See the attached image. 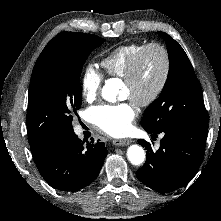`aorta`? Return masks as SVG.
<instances>
[{
    "label": "aorta",
    "mask_w": 221,
    "mask_h": 221,
    "mask_svg": "<svg viewBox=\"0 0 221 221\" xmlns=\"http://www.w3.org/2000/svg\"><path fill=\"white\" fill-rule=\"evenodd\" d=\"M118 90L114 84V80H109L102 89V96L105 100L114 102L117 96ZM127 158L131 164L138 166L145 161V152L139 145H131L127 150Z\"/></svg>",
    "instance_id": "1"
}]
</instances>
